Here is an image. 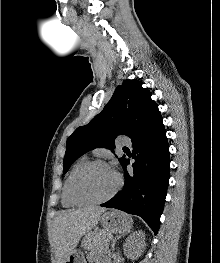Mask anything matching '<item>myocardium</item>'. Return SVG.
Listing matches in <instances>:
<instances>
[{"instance_id":"myocardium-1","label":"myocardium","mask_w":220,"mask_h":263,"mask_svg":"<svg viewBox=\"0 0 220 263\" xmlns=\"http://www.w3.org/2000/svg\"><path fill=\"white\" fill-rule=\"evenodd\" d=\"M96 165H106L109 166V164L107 162H105L104 160H92V161H87L86 163H84L82 166H80L72 175L70 181H69V187H68V194H69V198L72 202H74L77 205H94V204H101L104 203L108 200H110L111 198H113L117 192L120 190V188L122 187V177L118 172L116 173L117 176V184L114 187V189L107 194L106 196L99 198V199H83L77 196V194L75 193V183L76 180L78 179V177L85 172L87 169L96 166Z\"/></svg>"}]
</instances>
